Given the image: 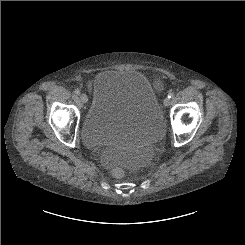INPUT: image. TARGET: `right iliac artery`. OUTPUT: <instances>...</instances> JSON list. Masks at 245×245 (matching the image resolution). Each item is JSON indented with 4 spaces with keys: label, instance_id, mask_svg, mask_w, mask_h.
I'll use <instances>...</instances> for the list:
<instances>
[{
    "label": "right iliac artery",
    "instance_id": "1",
    "mask_svg": "<svg viewBox=\"0 0 245 245\" xmlns=\"http://www.w3.org/2000/svg\"><path fill=\"white\" fill-rule=\"evenodd\" d=\"M75 94L79 95L80 94V90L79 89H75Z\"/></svg>",
    "mask_w": 245,
    "mask_h": 245
}]
</instances>
